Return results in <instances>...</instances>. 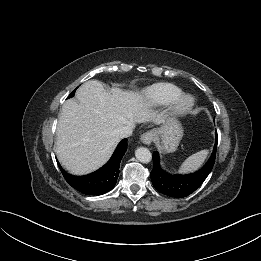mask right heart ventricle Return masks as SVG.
Wrapping results in <instances>:
<instances>
[{
  "label": "right heart ventricle",
  "instance_id": "1",
  "mask_svg": "<svg viewBox=\"0 0 261 261\" xmlns=\"http://www.w3.org/2000/svg\"><path fill=\"white\" fill-rule=\"evenodd\" d=\"M183 90L171 83H158L148 87L144 93V100L148 106L162 107L172 103Z\"/></svg>",
  "mask_w": 261,
  "mask_h": 261
}]
</instances>
